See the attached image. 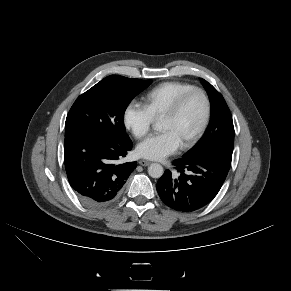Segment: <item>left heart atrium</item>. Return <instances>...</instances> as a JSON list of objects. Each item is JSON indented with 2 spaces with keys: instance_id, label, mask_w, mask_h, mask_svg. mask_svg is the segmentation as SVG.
I'll use <instances>...</instances> for the list:
<instances>
[{
  "instance_id": "1",
  "label": "left heart atrium",
  "mask_w": 291,
  "mask_h": 291,
  "mask_svg": "<svg viewBox=\"0 0 291 291\" xmlns=\"http://www.w3.org/2000/svg\"><path fill=\"white\" fill-rule=\"evenodd\" d=\"M180 142L172 131L152 135L137 146V154L149 160H161L178 150Z\"/></svg>"
}]
</instances>
